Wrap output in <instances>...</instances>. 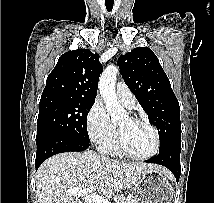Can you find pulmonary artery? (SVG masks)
I'll return each instance as SVG.
<instances>
[{
	"mask_svg": "<svg viewBox=\"0 0 214 203\" xmlns=\"http://www.w3.org/2000/svg\"><path fill=\"white\" fill-rule=\"evenodd\" d=\"M116 94L119 100L127 107H132L134 104V97L130 89L124 82H118L116 85Z\"/></svg>",
	"mask_w": 214,
	"mask_h": 203,
	"instance_id": "e3ab8cb5",
	"label": "pulmonary artery"
}]
</instances>
